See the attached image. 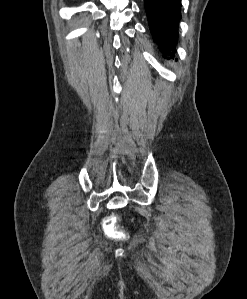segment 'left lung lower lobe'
Listing matches in <instances>:
<instances>
[{"label":"left lung lower lobe","mask_w":247,"mask_h":299,"mask_svg":"<svg viewBox=\"0 0 247 299\" xmlns=\"http://www.w3.org/2000/svg\"><path fill=\"white\" fill-rule=\"evenodd\" d=\"M153 40L163 55H173L181 18V0H144Z\"/></svg>","instance_id":"obj_1"}]
</instances>
